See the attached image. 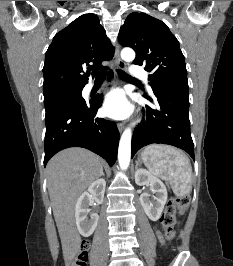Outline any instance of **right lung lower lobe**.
Segmentation results:
<instances>
[{"mask_svg": "<svg viewBox=\"0 0 233 266\" xmlns=\"http://www.w3.org/2000/svg\"><path fill=\"white\" fill-rule=\"evenodd\" d=\"M102 101L99 95L89 102L64 105L46 113L44 166L54 154L69 147L89 149L110 166L115 163L120 134L115 122L96 117Z\"/></svg>", "mask_w": 233, "mask_h": 266, "instance_id": "right-lung-lower-lobe-1", "label": "right lung lower lobe"}]
</instances>
